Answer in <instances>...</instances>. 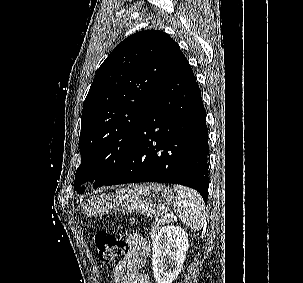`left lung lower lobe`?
<instances>
[{
  "instance_id": "0a47b994",
  "label": "left lung lower lobe",
  "mask_w": 303,
  "mask_h": 283,
  "mask_svg": "<svg viewBox=\"0 0 303 283\" xmlns=\"http://www.w3.org/2000/svg\"><path fill=\"white\" fill-rule=\"evenodd\" d=\"M208 153L201 92L181 52L149 104L124 162L104 185L181 184L197 190L206 203Z\"/></svg>"
}]
</instances>
